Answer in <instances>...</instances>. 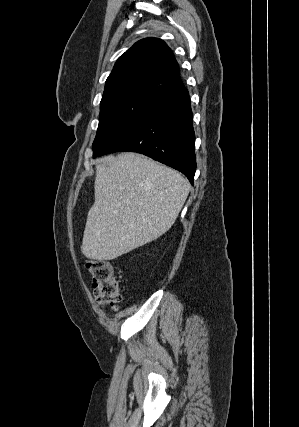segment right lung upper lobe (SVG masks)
<instances>
[{
	"label": "right lung upper lobe",
	"instance_id": "right-lung-upper-lobe-1",
	"mask_svg": "<svg viewBox=\"0 0 299 427\" xmlns=\"http://www.w3.org/2000/svg\"><path fill=\"white\" fill-rule=\"evenodd\" d=\"M183 87L171 49L161 39L145 38L119 57L106 80L101 101L119 96L156 101Z\"/></svg>",
	"mask_w": 299,
	"mask_h": 427
}]
</instances>
